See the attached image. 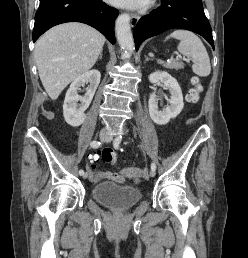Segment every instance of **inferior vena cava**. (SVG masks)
I'll return each instance as SVG.
<instances>
[{
    "mask_svg": "<svg viewBox=\"0 0 248 258\" xmlns=\"http://www.w3.org/2000/svg\"><path fill=\"white\" fill-rule=\"evenodd\" d=\"M103 132H108V129H106V128H105V129H103Z\"/></svg>",
    "mask_w": 248,
    "mask_h": 258,
    "instance_id": "602c4592",
    "label": "inferior vena cava"
}]
</instances>
